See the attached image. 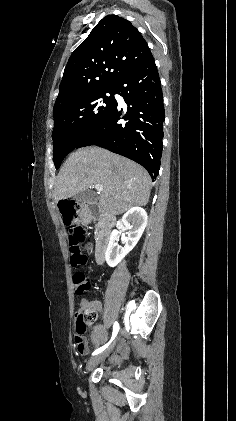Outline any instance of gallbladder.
<instances>
[{
    "label": "gallbladder",
    "mask_w": 236,
    "mask_h": 421,
    "mask_svg": "<svg viewBox=\"0 0 236 421\" xmlns=\"http://www.w3.org/2000/svg\"><path fill=\"white\" fill-rule=\"evenodd\" d=\"M74 200H77V202H83V200H88V192L87 190H83V192H78V194H75L73 196Z\"/></svg>",
    "instance_id": "bac80fb5"
}]
</instances>
